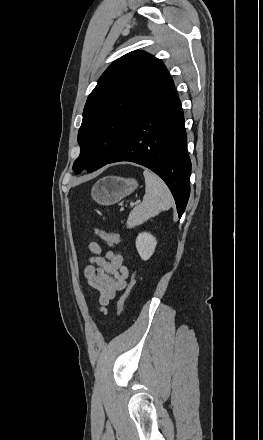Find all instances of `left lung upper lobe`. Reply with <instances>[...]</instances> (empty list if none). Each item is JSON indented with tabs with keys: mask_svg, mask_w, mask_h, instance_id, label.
<instances>
[{
	"mask_svg": "<svg viewBox=\"0 0 263 440\" xmlns=\"http://www.w3.org/2000/svg\"><path fill=\"white\" fill-rule=\"evenodd\" d=\"M168 76L163 62L144 51L130 52L107 68L84 107L76 174L101 168L117 153L136 115Z\"/></svg>",
	"mask_w": 263,
	"mask_h": 440,
	"instance_id": "obj_1",
	"label": "left lung upper lobe"
}]
</instances>
